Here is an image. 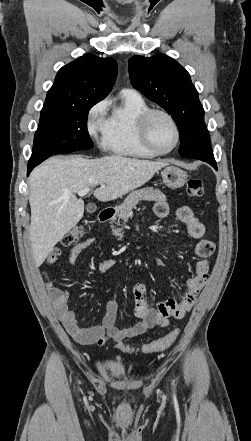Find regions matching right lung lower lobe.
Instances as JSON below:
<instances>
[{
  "instance_id": "98d812e1",
  "label": "right lung lower lobe",
  "mask_w": 251,
  "mask_h": 441,
  "mask_svg": "<svg viewBox=\"0 0 251 441\" xmlns=\"http://www.w3.org/2000/svg\"><path fill=\"white\" fill-rule=\"evenodd\" d=\"M51 155H44V154H34L32 153V156L28 162V169H27V175L30 174V172L32 171V169L37 166L38 164H40L41 162H43L45 159H47L48 157H50Z\"/></svg>"
}]
</instances>
